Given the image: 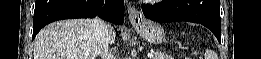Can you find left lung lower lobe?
Returning a JSON list of instances; mask_svg holds the SVG:
<instances>
[{
  "label": "left lung lower lobe",
  "mask_w": 261,
  "mask_h": 59,
  "mask_svg": "<svg viewBox=\"0 0 261 59\" xmlns=\"http://www.w3.org/2000/svg\"><path fill=\"white\" fill-rule=\"evenodd\" d=\"M143 14L157 22L200 23L221 42L220 0H164L154 6L142 5Z\"/></svg>",
  "instance_id": "left-lung-lower-lobe-1"
}]
</instances>
